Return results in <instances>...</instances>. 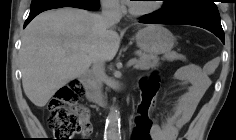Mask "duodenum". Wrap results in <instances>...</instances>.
Segmentation results:
<instances>
[{
    "instance_id": "1",
    "label": "duodenum",
    "mask_w": 236,
    "mask_h": 140,
    "mask_svg": "<svg viewBox=\"0 0 236 140\" xmlns=\"http://www.w3.org/2000/svg\"><path fill=\"white\" fill-rule=\"evenodd\" d=\"M80 82L85 87V97L88 102L104 104L105 100L101 97L100 92L95 87L93 75L90 71L83 72L79 76Z\"/></svg>"
}]
</instances>
